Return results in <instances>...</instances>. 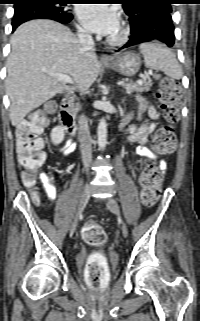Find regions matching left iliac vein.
<instances>
[{"instance_id":"4c4485c4","label":"left iliac vein","mask_w":200,"mask_h":321,"mask_svg":"<svg viewBox=\"0 0 200 321\" xmlns=\"http://www.w3.org/2000/svg\"><path fill=\"white\" fill-rule=\"evenodd\" d=\"M105 204L112 213L116 214L117 216H120L119 205L113 198H107L105 200ZM122 234L124 237L128 236V228L124 222L122 223Z\"/></svg>"}]
</instances>
